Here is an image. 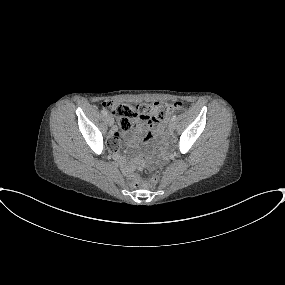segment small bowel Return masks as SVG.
<instances>
[{"mask_svg":"<svg viewBox=\"0 0 285 285\" xmlns=\"http://www.w3.org/2000/svg\"><path fill=\"white\" fill-rule=\"evenodd\" d=\"M156 123L154 121H146L140 124H137L134 128L135 135L131 138H129V135H127L125 132H118L115 130L112 133V136L107 140L106 147L110 151H115L120 146V138L124 137L129 139V143L132 144L136 142L142 135L147 134L151 135L152 128L155 126ZM158 129H161V126L158 125ZM117 161L120 162L121 166H125V163L122 159L117 158ZM130 185L134 186L136 183L135 177L131 176L129 179Z\"/></svg>","mask_w":285,"mask_h":285,"instance_id":"1","label":"small bowel"}]
</instances>
